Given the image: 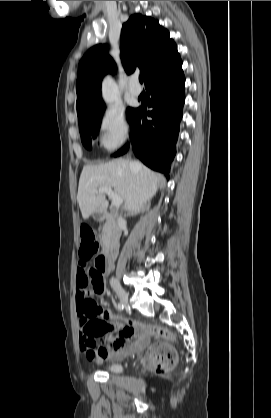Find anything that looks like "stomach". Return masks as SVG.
I'll list each match as a JSON object with an SVG mask.
<instances>
[{"label": "stomach", "instance_id": "0dacf381", "mask_svg": "<svg viewBox=\"0 0 271 418\" xmlns=\"http://www.w3.org/2000/svg\"><path fill=\"white\" fill-rule=\"evenodd\" d=\"M93 218H94L95 220H100V219H101L100 215H98V214H94V215H93Z\"/></svg>", "mask_w": 271, "mask_h": 418}]
</instances>
